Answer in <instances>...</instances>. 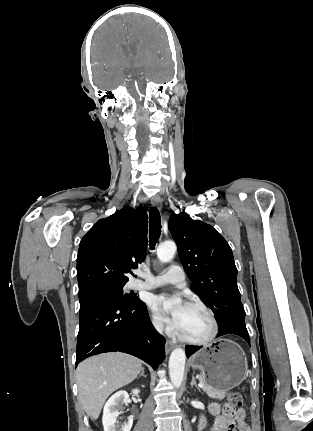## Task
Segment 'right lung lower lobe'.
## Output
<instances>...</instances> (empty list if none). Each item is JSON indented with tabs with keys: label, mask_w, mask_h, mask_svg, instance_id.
<instances>
[{
	"label": "right lung lower lobe",
	"mask_w": 313,
	"mask_h": 431,
	"mask_svg": "<svg viewBox=\"0 0 313 431\" xmlns=\"http://www.w3.org/2000/svg\"><path fill=\"white\" fill-rule=\"evenodd\" d=\"M79 333L76 366L92 355L125 352L156 369L165 358V338L153 327L147 307L139 298L127 302L108 293L79 297Z\"/></svg>",
	"instance_id": "1"
}]
</instances>
